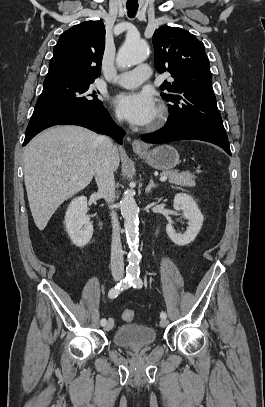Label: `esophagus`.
Segmentation results:
<instances>
[{
	"instance_id": "1",
	"label": "esophagus",
	"mask_w": 265,
	"mask_h": 407,
	"mask_svg": "<svg viewBox=\"0 0 265 407\" xmlns=\"http://www.w3.org/2000/svg\"><path fill=\"white\" fill-rule=\"evenodd\" d=\"M132 148L134 151H142V150H144V145L141 143V141L135 139L132 142Z\"/></svg>"
}]
</instances>
